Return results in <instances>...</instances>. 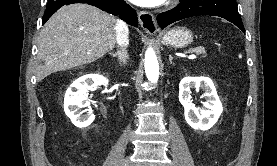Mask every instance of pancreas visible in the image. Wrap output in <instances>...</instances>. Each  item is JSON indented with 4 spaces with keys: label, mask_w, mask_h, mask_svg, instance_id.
<instances>
[{
    "label": "pancreas",
    "mask_w": 277,
    "mask_h": 166,
    "mask_svg": "<svg viewBox=\"0 0 277 166\" xmlns=\"http://www.w3.org/2000/svg\"><path fill=\"white\" fill-rule=\"evenodd\" d=\"M190 51H193V52H195L197 54H202L203 57L206 56V51H205V49L203 47H196L194 49H191Z\"/></svg>",
    "instance_id": "1"
}]
</instances>
